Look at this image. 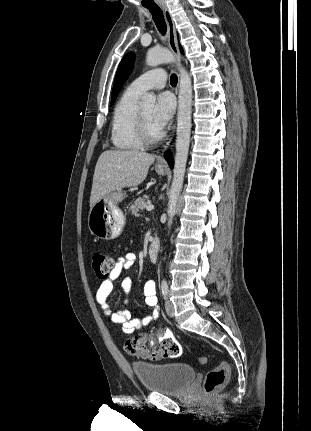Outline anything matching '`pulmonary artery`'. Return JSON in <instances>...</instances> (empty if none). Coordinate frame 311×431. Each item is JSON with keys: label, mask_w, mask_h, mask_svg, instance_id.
Segmentation results:
<instances>
[{"label": "pulmonary artery", "mask_w": 311, "mask_h": 431, "mask_svg": "<svg viewBox=\"0 0 311 431\" xmlns=\"http://www.w3.org/2000/svg\"><path fill=\"white\" fill-rule=\"evenodd\" d=\"M168 76L164 69L155 68L149 70L135 79L128 86V89L136 94H143L151 89H160L166 85Z\"/></svg>", "instance_id": "e3ab8cb5"}]
</instances>
